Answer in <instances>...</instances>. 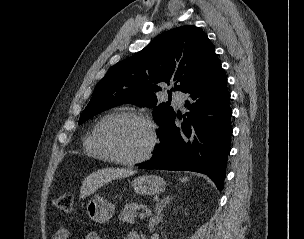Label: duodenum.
<instances>
[{"mask_svg": "<svg viewBox=\"0 0 304 239\" xmlns=\"http://www.w3.org/2000/svg\"><path fill=\"white\" fill-rule=\"evenodd\" d=\"M132 239H141L140 236L138 234H135Z\"/></svg>", "mask_w": 304, "mask_h": 239, "instance_id": "duodenum-1", "label": "duodenum"}]
</instances>
